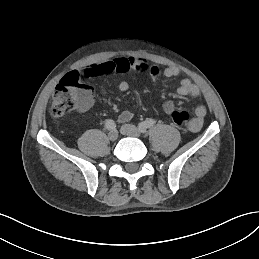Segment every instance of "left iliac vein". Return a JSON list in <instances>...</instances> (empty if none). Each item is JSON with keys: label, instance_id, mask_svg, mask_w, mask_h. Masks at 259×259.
<instances>
[{"label": "left iliac vein", "instance_id": "obj_1", "mask_svg": "<svg viewBox=\"0 0 259 259\" xmlns=\"http://www.w3.org/2000/svg\"><path fill=\"white\" fill-rule=\"evenodd\" d=\"M121 132L124 135L130 136V137H136L139 138L141 136V131L139 128L132 124H125L121 127Z\"/></svg>", "mask_w": 259, "mask_h": 259}]
</instances>
